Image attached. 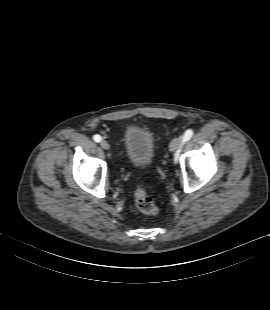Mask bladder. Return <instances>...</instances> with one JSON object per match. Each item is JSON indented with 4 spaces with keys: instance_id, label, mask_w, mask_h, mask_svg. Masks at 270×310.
<instances>
[{
    "instance_id": "bladder-1",
    "label": "bladder",
    "mask_w": 270,
    "mask_h": 310,
    "mask_svg": "<svg viewBox=\"0 0 270 310\" xmlns=\"http://www.w3.org/2000/svg\"><path fill=\"white\" fill-rule=\"evenodd\" d=\"M124 153L127 162L136 168L149 167L155 157V143L149 131L130 126L123 136Z\"/></svg>"
}]
</instances>
